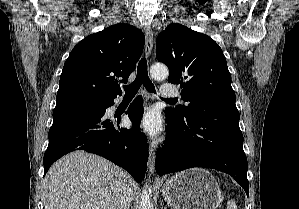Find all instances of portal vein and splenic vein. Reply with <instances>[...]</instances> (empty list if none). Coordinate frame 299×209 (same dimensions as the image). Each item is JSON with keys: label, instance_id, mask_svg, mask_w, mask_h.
I'll return each instance as SVG.
<instances>
[{"label": "portal vein and splenic vein", "instance_id": "portal-vein-and-splenic-vein-1", "mask_svg": "<svg viewBox=\"0 0 299 209\" xmlns=\"http://www.w3.org/2000/svg\"><path fill=\"white\" fill-rule=\"evenodd\" d=\"M93 209H99V207H94Z\"/></svg>", "mask_w": 299, "mask_h": 209}]
</instances>
